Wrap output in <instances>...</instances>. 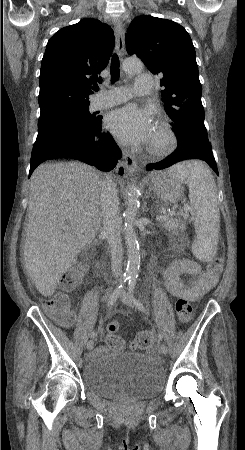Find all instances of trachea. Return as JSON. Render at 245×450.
<instances>
[{
    "mask_svg": "<svg viewBox=\"0 0 245 450\" xmlns=\"http://www.w3.org/2000/svg\"><path fill=\"white\" fill-rule=\"evenodd\" d=\"M110 72H111V82H115L116 80L119 79L120 76V62H119V58L117 54H114L112 56L111 59V67H110ZM94 91H98L99 87L95 86L93 88Z\"/></svg>",
    "mask_w": 245,
    "mask_h": 450,
    "instance_id": "trachea-1",
    "label": "trachea"
}]
</instances>
